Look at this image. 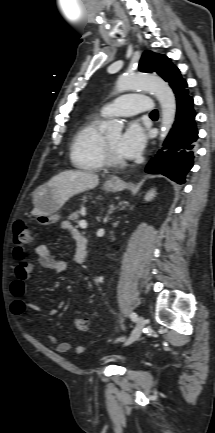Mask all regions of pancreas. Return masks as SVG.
<instances>
[{"label":"pancreas","instance_id":"pancreas-1","mask_svg":"<svg viewBox=\"0 0 215 433\" xmlns=\"http://www.w3.org/2000/svg\"><path fill=\"white\" fill-rule=\"evenodd\" d=\"M79 217H80V212L76 211V212H73L72 214H70L68 216V220H71V221H73L75 223H78L79 222L78 221Z\"/></svg>","mask_w":215,"mask_h":433}]
</instances>
